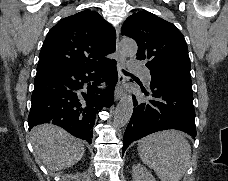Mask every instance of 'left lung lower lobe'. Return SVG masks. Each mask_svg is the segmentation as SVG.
Here are the masks:
<instances>
[{
    "instance_id": "obj_1",
    "label": "left lung lower lobe",
    "mask_w": 228,
    "mask_h": 181,
    "mask_svg": "<svg viewBox=\"0 0 228 181\" xmlns=\"http://www.w3.org/2000/svg\"><path fill=\"white\" fill-rule=\"evenodd\" d=\"M151 83L143 98L133 96L134 111L123 139V153L128 146L151 133L177 129L196 137L192 83L160 70H150Z\"/></svg>"
}]
</instances>
